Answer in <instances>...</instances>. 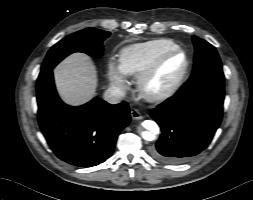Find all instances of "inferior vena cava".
<instances>
[{
    "label": "inferior vena cava",
    "instance_id": "inferior-vena-cava-1",
    "mask_svg": "<svg viewBox=\"0 0 253 200\" xmlns=\"http://www.w3.org/2000/svg\"><path fill=\"white\" fill-rule=\"evenodd\" d=\"M124 98V93L121 89L117 87H109L104 92V99L110 104H118L120 103Z\"/></svg>",
    "mask_w": 253,
    "mask_h": 200
}]
</instances>
